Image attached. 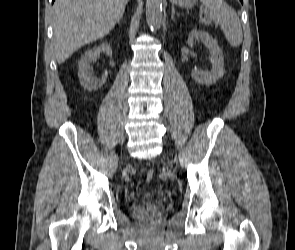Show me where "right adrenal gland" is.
<instances>
[{
  "instance_id": "right-adrenal-gland-1",
  "label": "right adrenal gland",
  "mask_w": 295,
  "mask_h": 250,
  "mask_svg": "<svg viewBox=\"0 0 295 250\" xmlns=\"http://www.w3.org/2000/svg\"><path fill=\"white\" fill-rule=\"evenodd\" d=\"M119 22L123 23V14H122V15L120 16V18L118 19L117 23H119Z\"/></svg>"
}]
</instances>
